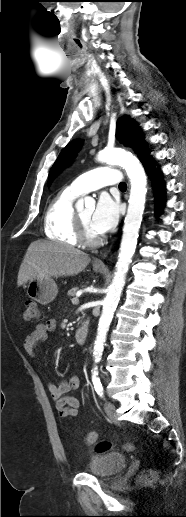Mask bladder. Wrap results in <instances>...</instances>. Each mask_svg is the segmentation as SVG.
Segmentation results:
<instances>
[{
    "label": "bladder",
    "mask_w": 186,
    "mask_h": 517,
    "mask_svg": "<svg viewBox=\"0 0 186 517\" xmlns=\"http://www.w3.org/2000/svg\"><path fill=\"white\" fill-rule=\"evenodd\" d=\"M128 458L120 453H108L97 456L89 464L88 472L96 477H111L122 471L127 465Z\"/></svg>",
    "instance_id": "bladder-1"
}]
</instances>
